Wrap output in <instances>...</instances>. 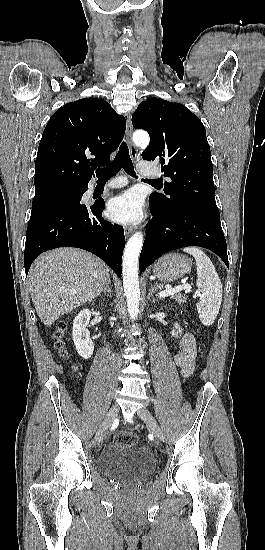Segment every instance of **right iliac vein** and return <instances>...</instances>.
<instances>
[{
	"label": "right iliac vein",
	"mask_w": 265,
	"mask_h": 550,
	"mask_svg": "<svg viewBox=\"0 0 265 550\" xmlns=\"http://www.w3.org/2000/svg\"><path fill=\"white\" fill-rule=\"evenodd\" d=\"M119 412V406L113 405L109 411L107 412L102 424L99 426L98 431L96 433V438H98L104 431H106L112 424L113 420L117 416Z\"/></svg>",
	"instance_id": "1"
}]
</instances>
